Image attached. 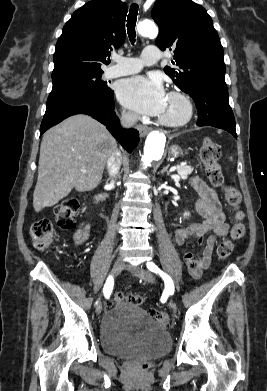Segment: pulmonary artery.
Here are the masks:
<instances>
[{
    "instance_id": "1",
    "label": "pulmonary artery",
    "mask_w": 267,
    "mask_h": 391,
    "mask_svg": "<svg viewBox=\"0 0 267 391\" xmlns=\"http://www.w3.org/2000/svg\"><path fill=\"white\" fill-rule=\"evenodd\" d=\"M161 53L156 46H147L141 58L114 56L115 65L106 71L108 78H115L139 72L144 65H152L158 62Z\"/></svg>"
}]
</instances>
